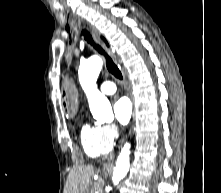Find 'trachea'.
<instances>
[{"instance_id":"3493384b","label":"trachea","mask_w":221,"mask_h":193,"mask_svg":"<svg viewBox=\"0 0 221 193\" xmlns=\"http://www.w3.org/2000/svg\"><path fill=\"white\" fill-rule=\"evenodd\" d=\"M82 35L84 36L85 40L90 43L100 54L104 55L106 59V66L108 71L113 74L116 78L122 79V74L119 68L115 65V63L112 61V59L103 51V49L96 45L88 31L85 29L82 30Z\"/></svg>"}]
</instances>
